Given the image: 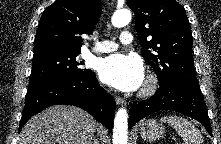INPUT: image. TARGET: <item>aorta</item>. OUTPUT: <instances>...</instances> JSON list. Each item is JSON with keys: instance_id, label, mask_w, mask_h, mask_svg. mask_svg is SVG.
<instances>
[{"instance_id": "762f6f07", "label": "aorta", "mask_w": 221, "mask_h": 144, "mask_svg": "<svg viewBox=\"0 0 221 144\" xmlns=\"http://www.w3.org/2000/svg\"><path fill=\"white\" fill-rule=\"evenodd\" d=\"M132 15L130 10L122 9L116 11L111 23L114 27L121 28L128 25L131 21ZM128 113L125 108H120L114 119L113 127V144H127L128 139Z\"/></svg>"}]
</instances>
